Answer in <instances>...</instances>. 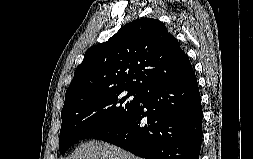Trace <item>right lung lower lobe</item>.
Here are the masks:
<instances>
[{
    "mask_svg": "<svg viewBox=\"0 0 253 159\" xmlns=\"http://www.w3.org/2000/svg\"><path fill=\"white\" fill-rule=\"evenodd\" d=\"M141 103L94 138L146 159H199L203 112L194 71L144 93Z\"/></svg>",
    "mask_w": 253,
    "mask_h": 159,
    "instance_id": "1",
    "label": "right lung lower lobe"
}]
</instances>
